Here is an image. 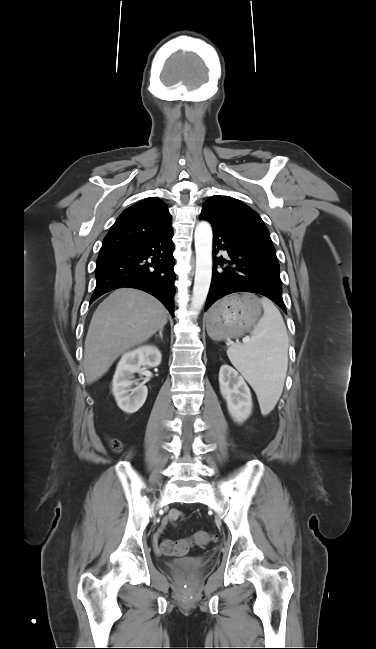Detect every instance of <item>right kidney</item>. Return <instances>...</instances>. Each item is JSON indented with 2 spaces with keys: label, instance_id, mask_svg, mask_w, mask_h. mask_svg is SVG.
<instances>
[{
  "label": "right kidney",
  "instance_id": "1",
  "mask_svg": "<svg viewBox=\"0 0 376 649\" xmlns=\"http://www.w3.org/2000/svg\"><path fill=\"white\" fill-rule=\"evenodd\" d=\"M161 352L152 345L140 346L125 353L116 368L112 380V392L118 407L126 413H135L144 404L148 389L137 380H132L133 374H143L142 366L156 367L161 363ZM135 385L132 388V385Z\"/></svg>",
  "mask_w": 376,
  "mask_h": 649
}]
</instances>
